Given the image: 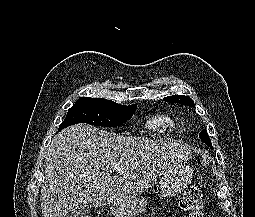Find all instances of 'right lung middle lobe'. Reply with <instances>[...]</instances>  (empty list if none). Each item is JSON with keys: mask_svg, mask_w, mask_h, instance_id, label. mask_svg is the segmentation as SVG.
<instances>
[{"mask_svg": "<svg viewBox=\"0 0 255 217\" xmlns=\"http://www.w3.org/2000/svg\"><path fill=\"white\" fill-rule=\"evenodd\" d=\"M137 105H121L102 98L81 97L68 110L59 130L78 123L114 127L125 123L136 111Z\"/></svg>", "mask_w": 255, "mask_h": 217, "instance_id": "1", "label": "right lung middle lobe"}]
</instances>
